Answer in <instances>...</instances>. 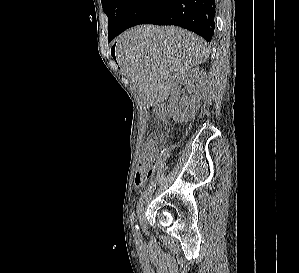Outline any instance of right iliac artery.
Returning a JSON list of instances; mask_svg holds the SVG:
<instances>
[{
	"label": "right iliac artery",
	"mask_w": 299,
	"mask_h": 273,
	"mask_svg": "<svg viewBox=\"0 0 299 273\" xmlns=\"http://www.w3.org/2000/svg\"><path fill=\"white\" fill-rule=\"evenodd\" d=\"M135 221L134 219V216H133V222ZM133 233H134V236L138 237L140 232H139V227L136 223H134V227H133Z\"/></svg>",
	"instance_id": "right-iliac-artery-1"
}]
</instances>
